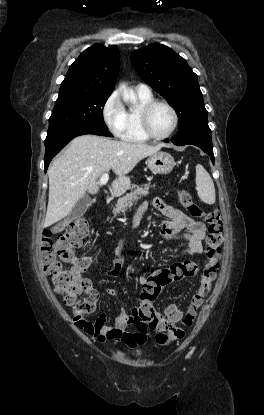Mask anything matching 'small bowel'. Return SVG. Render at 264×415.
Wrapping results in <instances>:
<instances>
[{"label":"small bowel","mask_w":264,"mask_h":415,"mask_svg":"<svg viewBox=\"0 0 264 415\" xmlns=\"http://www.w3.org/2000/svg\"><path fill=\"white\" fill-rule=\"evenodd\" d=\"M153 206L161 212L169 220H163L160 223V233L164 242H171L174 240H183L186 242V247L183 250V254L187 257H194L203 251V240L206 234V227L203 223L191 220L183 212L171 207L164 203L160 198L156 197L152 201ZM144 208H140L132 220V228L135 227L134 220L137 218L139 221L142 218ZM185 230V231H184ZM125 263V256L123 253V247L117 251V257L111 268L103 270L101 274L105 278H116L122 273ZM89 269V266L85 268ZM151 277L143 274L139 277V285L144 289L146 282ZM108 293L114 298H118V293L112 289H108ZM137 313V309L132 314H127L121 311L116 319L115 324H107V314L101 313L97 320L94 322L92 330L85 329V331L97 339L103 340H121L125 344L132 348H136L142 345L146 340V335H142V340H135L137 332L129 331V326L133 322V319Z\"/></svg>","instance_id":"1"}]
</instances>
